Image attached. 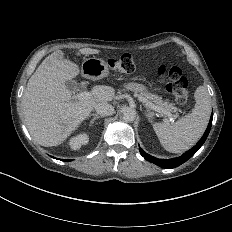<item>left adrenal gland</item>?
Returning <instances> with one entry per match:
<instances>
[{
  "instance_id": "1",
  "label": "left adrenal gland",
  "mask_w": 232,
  "mask_h": 232,
  "mask_svg": "<svg viewBox=\"0 0 232 232\" xmlns=\"http://www.w3.org/2000/svg\"><path fill=\"white\" fill-rule=\"evenodd\" d=\"M153 115H154L153 112L148 109L147 117L150 119L151 122H152Z\"/></svg>"
}]
</instances>
